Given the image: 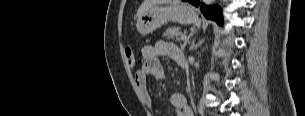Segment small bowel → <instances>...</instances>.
I'll use <instances>...</instances> for the list:
<instances>
[{
    "label": "small bowel",
    "instance_id": "1",
    "mask_svg": "<svg viewBox=\"0 0 305 116\" xmlns=\"http://www.w3.org/2000/svg\"><path fill=\"white\" fill-rule=\"evenodd\" d=\"M160 56L169 57L174 61H177L179 57H183L182 52L175 44L164 41H159L155 45H147L142 49L143 64L135 73V81L138 90L149 107L154 106V101L148 89L147 76L151 75L155 80H162L165 77L164 67L159 61ZM170 105L177 116H193V112L182 94H172Z\"/></svg>",
    "mask_w": 305,
    "mask_h": 116
}]
</instances>
